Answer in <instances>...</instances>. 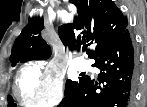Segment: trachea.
<instances>
[{
	"mask_svg": "<svg viewBox=\"0 0 147 107\" xmlns=\"http://www.w3.org/2000/svg\"><path fill=\"white\" fill-rule=\"evenodd\" d=\"M83 50H86V47L85 46L83 47Z\"/></svg>",
	"mask_w": 147,
	"mask_h": 107,
	"instance_id": "trachea-1",
	"label": "trachea"
}]
</instances>
